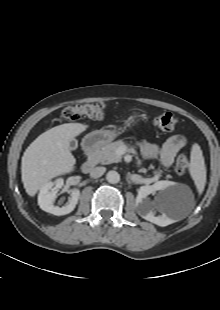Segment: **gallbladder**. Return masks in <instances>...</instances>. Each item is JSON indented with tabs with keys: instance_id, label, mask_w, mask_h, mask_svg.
Here are the masks:
<instances>
[{
	"instance_id": "1",
	"label": "gallbladder",
	"mask_w": 220,
	"mask_h": 310,
	"mask_svg": "<svg viewBox=\"0 0 220 310\" xmlns=\"http://www.w3.org/2000/svg\"><path fill=\"white\" fill-rule=\"evenodd\" d=\"M70 150H76L78 147V141L76 139H71L69 142Z\"/></svg>"
}]
</instances>
